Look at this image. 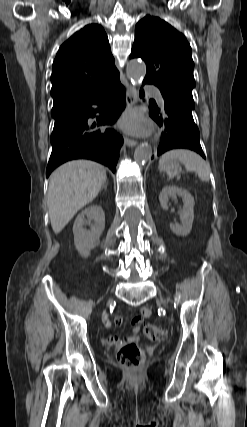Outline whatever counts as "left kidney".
<instances>
[{
    "mask_svg": "<svg viewBox=\"0 0 247 427\" xmlns=\"http://www.w3.org/2000/svg\"><path fill=\"white\" fill-rule=\"evenodd\" d=\"M177 196L181 197L184 203L182 210L179 211L181 224H170V229L177 236H187L192 229L194 220L195 201L192 195L183 188L165 186L159 195L160 205L164 210H168L169 199Z\"/></svg>",
    "mask_w": 247,
    "mask_h": 427,
    "instance_id": "left-kidney-1",
    "label": "left kidney"
}]
</instances>
